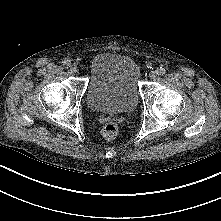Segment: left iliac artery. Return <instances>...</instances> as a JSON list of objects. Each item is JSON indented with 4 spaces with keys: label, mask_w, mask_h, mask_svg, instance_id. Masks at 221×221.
<instances>
[{
    "label": "left iliac artery",
    "mask_w": 221,
    "mask_h": 221,
    "mask_svg": "<svg viewBox=\"0 0 221 221\" xmlns=\"http://www.w3.org/2000/svg\"><path fill=\"white\" fill-rule=\"evenodd\" d=\"M156 72L158 75H164L166 70L163 67H159V68H157Z\"/></svg>",
    "instance_id": "1"
}]
</instances>
